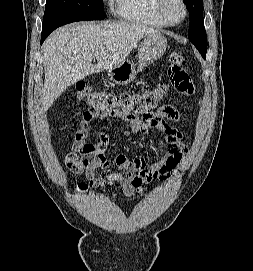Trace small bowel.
<instances>
[{"label":"small bowel","mask_w":253,"mask_h":271,"mask_svg":"<svg viewBox=\"0 0 253 271\" xmlns=\"http://www.w3.org/2000/svg\"><path fill=\"white\" fill-rule=\"evenodd\" d=\"M110 116L127 125L124 130L125 136L148 135L152 131L160 132L167 151L152 165H147L143 158L131 160L124 153H118L114 160L118 171L108 172L106 170L109 163L105 156L110 143L108 135L102 133L98 142L94 144L86 141L92 124L103 120L105 115L91 110L86 111L66 157L67 166L72 172L85 173L88 185H84L83 188L119 184L125 196L132 197L140 193L146 183L172 177L188 152V146L183 141L182 134L167 123V121L177 122L181 118L180 111L175 106L162 105L154 113L147 114L142 119L119 111L113 112ZM99 170L106 171L104 177L97 175Z\"/></svg>","instance_id":"1"}]
</instances>
